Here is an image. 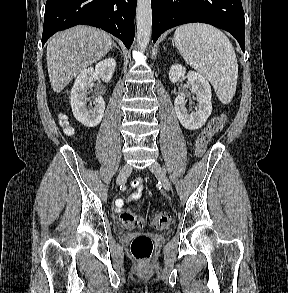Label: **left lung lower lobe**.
Here are the masks:
<instances>
[{"mask_svg":"<svg viewBox=\"0 0 288 293\" xmlns=\"http://www.w3.org/2000/svg\"><path fill=\"white\" fill-rule=\"evenodd\" d=\"M153 42L172 27L202 22L230 32L245 52V20L241 0H151Z\"/></svg>","mask_w":288,"mask_h":293,"instance_id":"obj_1","label":"left lung lower lobe"}]
</instances>
